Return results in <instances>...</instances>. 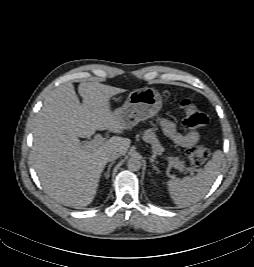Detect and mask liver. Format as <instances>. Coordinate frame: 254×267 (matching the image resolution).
Wrapping results in <instances>:
<instances>
[{"label": "liver", "mask_w": 254, "mask_h": 267, "mask_svg": "<svg viewBox=\"0 0 254 267\" xmlns=\"http://www.w3.org/2000/svg\"><path fill=\"white\" fill-rule=\"evenodd\" d=\"M125 91L99 82L80 83V104L69 82L45 98L33 124L30 160L44 190L57 202L73 208L91 204L108 155L127 153L128 138L113 136L96 147H86L79 140L91 137L96 130L123 134L126 127L111 111L110 98Z\"/></svg>", "instance_id": "liver-1"}]
</instances>
